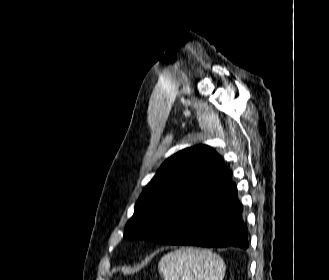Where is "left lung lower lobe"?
Listing matches in <instances>:
<instances>
[{"mask_svg": "<svg viewBox=\"0 0 329 280\" xmlns=\"http://www.w3.org/2000/svg\"><path fill=\"white\" fill-rule=\"evenodd\" d=\"M226 179L188 204L178 220L160 232L175 245L247 249L248 229L242 217L236 184Z\"/></svg>", "mask_w": 329, "mask_h": 280, "instance_id": "left-lung-lower-lobe-1", "label": "left lung lower lobe"}]
</instances>
